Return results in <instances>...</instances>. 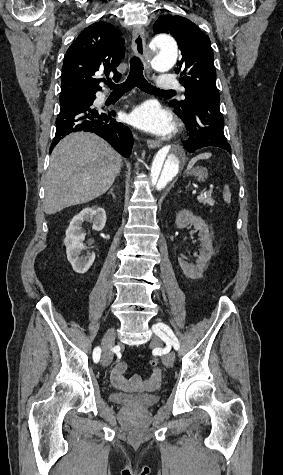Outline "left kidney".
<instances>
[{
  "instance_id": "obj_1",
  "label": "left kidney",
  "mask_w": 283,
  "mask_h": 475,
  "mask_svg": "<svg viewBox=\"0 0 283 475\" xmlns=\"http://www.w3.org/2000/svg\"><path fill=\"white\" fill-rule=\"evenodd\" d=\"M177 228H186L189 224L194 226L195 230H199V239L201 241V249L196 259V265L194 263H187L183 257H178L179 265L182 267L186 277L191 279H199L202 277L203 269L206 265V261L213 255L212 241L209 238V228L206 226L204 220L199 216H193L189 210H181L178 216H176L175 222Z\"/></svg>"
}]
</instances>
